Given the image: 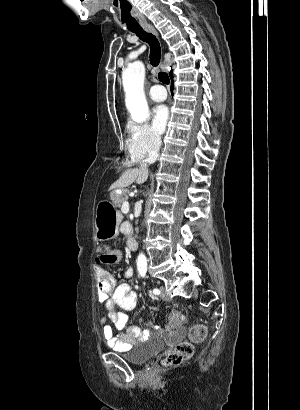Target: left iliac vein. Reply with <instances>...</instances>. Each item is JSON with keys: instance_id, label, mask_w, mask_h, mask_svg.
Segmentation results:
<instances>
[{"instance_id": "1", "label": "left iliac vein", "mask_w": 300, "mask_h": 410, "mask_svg": "<svg viewBox=\"0 0 300 410\" xmlns=\"http://www.w3.org/2000/svg\"><path fill=\"white\" fill-rule=\"evenodd\" d=\"M160 290H161V298L163 300H165V301L171 300L170 296L166 293L165 287L161 286Z\"/></svg>"}]
</instances>
